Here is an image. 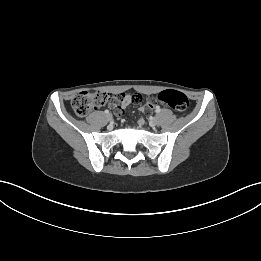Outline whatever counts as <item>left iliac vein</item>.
I'll return each mask as SVG.
<instances>
[{"label": "left iliac vein", "mask_w": 261, "mask_h": 261, "mask_svg": "<svg viewBox=\"0 0 261 261\" xmlns=\"http://www.w3.org/2000/svg\"><path fill=\"white\" fill-rule=\"evenodd\" d=\"M149 123H150V125H151L152 127H154V126L158 125L159 121H158V119H157L156 117H154V118H152V119L150 120Z\"/></svg>", "instance_id": "1"}]
</instances>
